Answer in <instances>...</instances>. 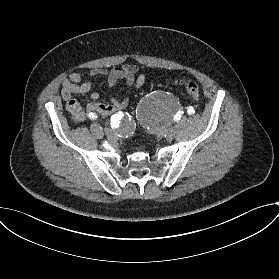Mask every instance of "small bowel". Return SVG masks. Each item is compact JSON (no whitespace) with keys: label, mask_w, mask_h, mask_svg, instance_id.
Here are the masks:
<instances>
[{"label":"small bowel","mask_w":279,"mask_h":279,"mask_svg":"<svg viewBox=\"0 0 279 279\" xmlns=\"http://www.w3.org/2000/svg\"><path fill=\"white\" fill-rule=\"evenodd\" d=\"M138 71L139 68L135 64H125L122 67H114L109 70L95 68L90 71V79L87 81H82L81 74L77 72L71 73L62 83L61 95L67 102L66 107L72 119L77 123H81L93 119L97 115H110L114 112L126 109L130 103L129 97L111 99L109 103L97 102L99 93L92 90L91 79L103 76L106 78L109 87H113L119 81H123L129 86L135 84L136 88H139L145 82V76L139 75L136 78ZM77 94H88L92 102L83 108L73 97Z\"/></svg>","instance_id":"c3829d8e"}]
</instances>
